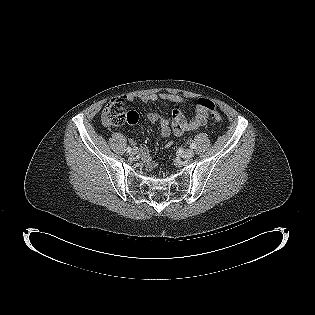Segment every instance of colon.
I'll return each mask as SVG.
<instances>
[{"mask_svg":"<svg viewBox=\"0 0 315 315\" xmlns=\"http://www.w3.org/2000/svg\"><path fill=\"white\" fill-rule=\"evenodd\" d=\"M198 105L207 109L211 117L220 122L222 120L221 114L217 110L215 104L208 99H199ZM138 115L134 111H126L122 99H115L111 101L105 108L103 113V120L109 126H121L124 123L133 124L137 121Z\"/></svg>","mask_w":315,"mask_h":315,"instance_id":"5ec220e1","label":"colon"}]
</instances>
